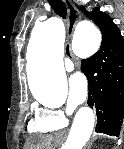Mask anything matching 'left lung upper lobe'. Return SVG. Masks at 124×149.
I'll return each mask as SVG.
<instances>
[{"mask_svg":"<svg viewBox=\"0 0 124 149\" xmlns=\"http://www.w3.org/2000/svg\"><path fill=\"white\" fill-rule=\"evenodd\" d=\"M83 13L92 19L102 32V39H109L121 36L120 30L113 23L112 19L101 12L98 8H94L92 12H87L84 7H81Z\"/></svg>","mask_w":124,"mask_h":149,"instance_id":"1","label":"left lung upper lobe"}]
</instances>
